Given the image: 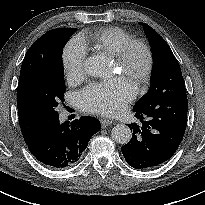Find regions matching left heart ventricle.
<instances>
[{
  "label": "left heart ventricle",
  "instance_id": "obj_1",
  "mask_svg": "<svg viewBox=\"0 0 205 205\" xmlns=\"http://www.w3.org/2000/svg\"><path fill=\"white\" fill-rule=\"evenodd\" d=\"M144 63H145V57H144L143 52L140 50H137L134 53L133 58L131 60V64H130V70L132 72V75L130 76L131 78L134 79V75L141 72V70L144 67Z\"/></svg>",
  "mask_w": 205,
  "mask_h": 205
}]
</instances>
